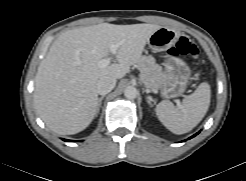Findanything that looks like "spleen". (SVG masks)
I'll list each match as a JSON object with an SVG mask.
<instances>
[{
	"instance_id": "spleen-1",
	"label": "spleen",
	"mask_w": 246,
	"mask_h": 181,
	"mask_svg": "<svg viewBox=\"0 0 246 181\" xmlns=\"http://www.w3.org/2000/svg\"><path fill=\"white\" fill-rule=\"evenodd\" d=\"M211 98L210 85L201 83L195 92L183 99L177 108L169 100H163L156 106V115L160 122L174 134H184L196 127L205 116Z\"/></svg>"
}]
</instances>
